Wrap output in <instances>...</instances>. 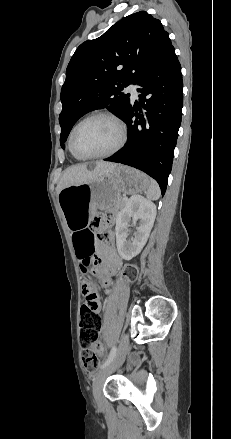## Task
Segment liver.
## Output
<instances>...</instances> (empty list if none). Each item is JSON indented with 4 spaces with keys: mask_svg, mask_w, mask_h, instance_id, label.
I'll return each mask as SVG.
<instances>
[{
    "mask_svg": "<svg viewBox=\"0 0 231 439\" xmlns=\"http://www.w3.org/2000/svg\"><path fill=\"white\" fill-rule=\"evenodd\" d=\"M117 166L116 163L102 161L96 162L94 169L92 170L88 169L87 164L72 165L64 171L57 185V192L59 194L61 190L66 187L95 180L103 174L110 172Z\"/></svg>",
    "mask_w": 231,
    "mask_h": 439,
    "instance_id": "obj_1",
    "label": "liver"
}]
</instances>
